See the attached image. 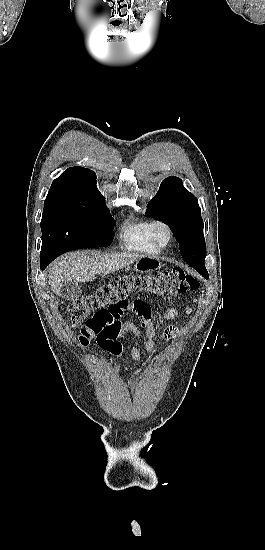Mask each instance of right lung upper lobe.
Listing matches in <instances>:
<instances>
[{"mask_svg":"<svg viewBox=\"0 0 265 550\" xmlns=\"http://www.w3.org/2000/svg\"><path fill=\"white\" fill-rule=\"evenodd\" d=\"M89 198L105 199L96 187V174L83 167H71L55 179L45 202H71Z\"/></svg>","mask_w":265,"mask_h":550,"instance_id":"right-lung-upper-lobe-1","label":"right lung upper lobe"}]
</instances>
